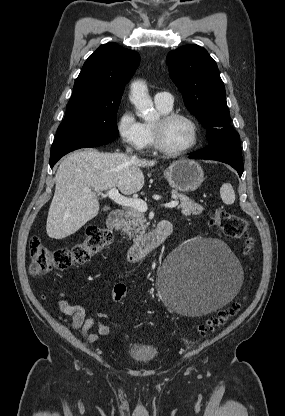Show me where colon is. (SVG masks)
Here are the masks:
<instances>
[{"mask_svg":"<svg viewBox=\"0 0 285 416\" xmlns=\"http://www.w3.org/2000/svg\"><path fill=\"white\" fill-rule=\"evenodd\" d=\"M225 235L234 239H243L245 243L244 254L251 256L256 240L249 232L246 220L223 209H217L212 217ZM112 240V234L106 229L91 225L86 229L82 241L71 247H47L41 240L33 237L29 250L31 257L30 271L35 276H43L50 271L64 270L73 265L87 262L93 255L103 250ZM126 296V286L116 284L112 297L115 303H120ZM240 310V303L234 302L225 309L220 310L206 324L199 326L202 334L212 333L223 327Z\"/></svg>","mask_w":285,"mask_h":416,"instance_id":"5ec220e1","label":"colon"}]
</instances>
